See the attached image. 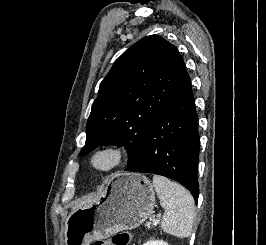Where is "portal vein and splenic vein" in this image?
Returning a JSON list of instances; mask_svg holds the SVG:
<instances>
[{
  "label": "portal vein and splenic vein",
  "instance_id": "1",
  "mask_svg": "<svg viewBox=\"0 0 266 245\" xmlns=\"http://www.w3.org/2000/svg\"><path fill=\"white\" fill-rule=\"evenodd\" d=\"M160 217V215H159ZM157 223H159V221H153V225H157Z\"/></svg>",
  "mask_w": 266,
  "mask_h": 245
}]
</instances>
